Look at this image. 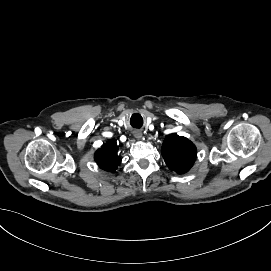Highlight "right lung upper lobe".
Here are the masks:
<instances>
[{"label": "right lung upper lobe", "mask_w": 271, "mask_h": 271, "mask_svg": "<svg viewBox=\"0 0 271 271\" xmlns=\"http://www.w3.org/2000/svg\"><path fill=\"white\" fill-rule=\"evenodd\" d=\"M118 149L116 141L109 140L95 152L94 159L101 169L115 172L121 163V158L117 155Z\"/></svg>", "instance_id": "right-lung-upper-lobe-1"}]
</instances>
